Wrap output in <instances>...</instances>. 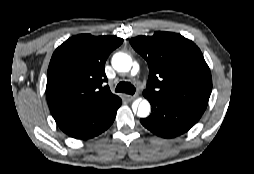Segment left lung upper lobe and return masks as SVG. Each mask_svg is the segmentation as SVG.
Listing matches in <instances>:
<instances>
[{
  "label": "left lung upper lobe",
  "instance_id": "5c2ea615",
  "mask_svg": "<svg viewBox=\"0 0 254 174\" xmlns=\"http://www.w3.org/2000/svg\"><path fill=\"white\" fill-rule=\"evenodd\" d=\"M149 66L145 97L203 114L212 90L210 69L200 49L180 34L155 32L130 40Z\"/></svg>",
  "mask_w": 254,
  "mask_h": 174
}]
</instances>
